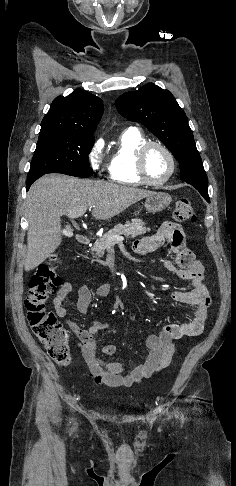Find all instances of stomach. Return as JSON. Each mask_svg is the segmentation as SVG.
I'll list each match as a JSON object with an SVG mask.
<instances>
[{
	"instance_id": "obj_1",
	"label": "stomach",
	"mask_w": 236,
	"mask_h": 486,
	"mask_svg": "<svg viewBox=\"0 0 236 486\" xmlns=\"http://www.w3.org/2000/svg\"><path fill=\"white\" fill-rule=\"evenodd\" d=\"M172 202V197L165 192H154L147 196L145 200V208L149 213H157L163 211Z\"/></svg>"
}]
</instances>
